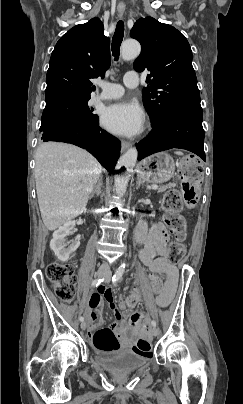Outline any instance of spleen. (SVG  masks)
I'll use <instances>...</instances> for the list:
<instances>
[{
    "mask_svg": "<svg viewBox=\"0 0 243 404\" xmlns=\"http://www.w3.org/2000/svg\"><path fill=\"white\" fill-rule=\"evenodd\" d=\"M175 154H177V156H183L182 152H175Z\"/></svg>",
    "mask_w": 243,
    "mask_h": 404,
    "instance_id": "3e777b00",
    "label": "spleen"
}]
</instances>
